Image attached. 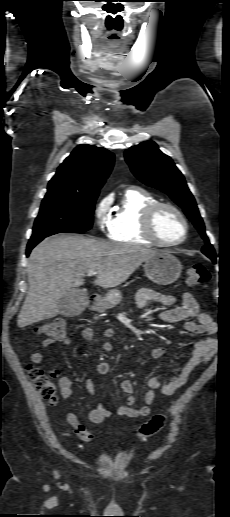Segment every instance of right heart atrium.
I'll list each match as a JSON object with an SVG mask.
<instances>
[{
    "label": "right heart atrium",
    "mask_w": 230,
    "mask_h": 517,
    "mask_svg": "<svg viewBox=\"0 0 230 517\" xmlns=\"http://www.w3.org/2000/svg\"><path fill=\"white\" fill-rule=\"evenodd\" d=\"M112 198L110 196L102 197L94 207V218L97 228L101 232L108 230L112 218Z\"/></svg>",
    "instance_id": "right-heart-atrium-1"
}]
</instances>
